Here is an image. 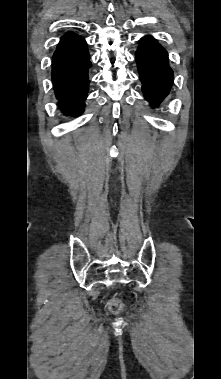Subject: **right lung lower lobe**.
<instances>
[{"instance_id": "1", "label": "right lung lower lobe", "mask_w": 221, "mask_h": 379, "mask_svg": "<svg viewBox=\"0 0 221 379\" xmlns=\"http://www.w3.org/2000/svg\"><path fill=\"white\" fill-rule=\"evenodd\" d=\"M90 67L85 40L72 32L65 34L52 58V82L65 115L77 116L83 112Z\"/></svg>"}]
</instances>
